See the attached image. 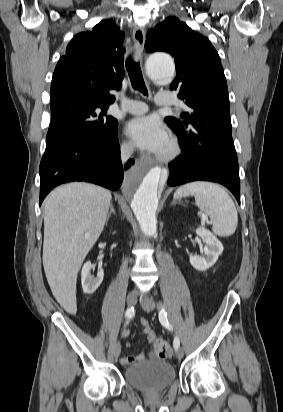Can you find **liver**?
<instances>
[{
    "label": "liver",
    "mask_w": 283,
    "mask_h": 412,
    "mask_svg": "<svg viewBox=\"0 0 283 412\" xmlns=\"http://www.w3.org/2000/svg\"><path fill=\"white\" fill-rule=\"evenodd\" d=\"M111 197L107 189L74 182L44 201L43 267L53 296L70 314L77 311L78 272L104 229Z\"/></svg>",
    "instance_id": "1"
}]
</instances>
